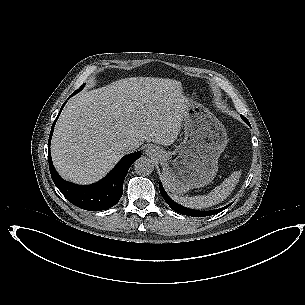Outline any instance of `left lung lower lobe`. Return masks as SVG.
<instances>
[{
  "label": "left lung lower lobe",
  "instance_id": "obj_1",
  "mask_svg": "<svg viewBox=\"0 0 305 305\" xmlns=\"http://www.w3.org/2000/svg\"><path fill=\"white\" fill-rule=\"evenodd\" d=\"M159 187H160V193H161L162 197L167 202V204L170 206V208L175 211L177 203H175L171 198H169V196L166 194V192H165V190H164V188H163L161 183H159ZM228 206L220 208V209L212 210V211H205V214H206V216L214 215V214H216L218 212L223 211Z\"/></svg>",
  "mask_w": 305,
  "mask_h": 305
}]
</instances>
